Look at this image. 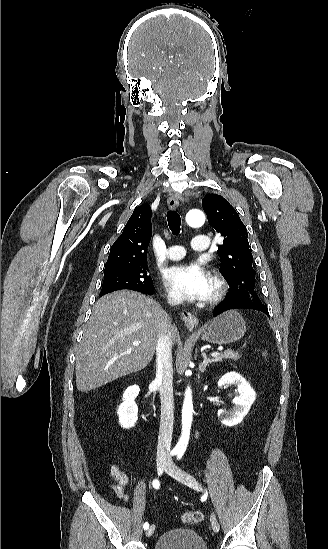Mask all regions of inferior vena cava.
Instances as JSON below:
<instances>
[{
	"label": "inferior vena cava",
	"instance_id": "obj_1",
	"mask_svg": "<svg viewBox=\"0 0 328 549\" xmlns=\"http://www.w3.org/2000/svg\"><path fill=\"white\" fill-rule=\"evenodd\" d=\"M174 305L173 301H168ZM156 367L161 399V421L158 437L157 457H167L171 449L173 433V365L171 333L159 335L156 347Z\"/></svg>",
	"mask_w": 328,
	"mask_h": 549
}]
</instances>
